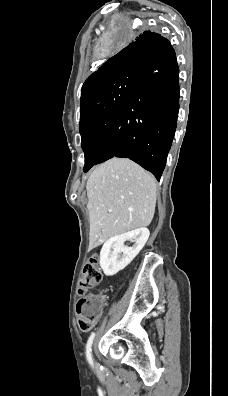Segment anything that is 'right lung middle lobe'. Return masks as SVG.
Listing matches in <instances>:
<instances>
[{
  "label": "right lung middle lobe",
  "mask_w": 228,
  "mask_h": 396,
  "mask_svg": "<svg viewBox=\"0 0 228 396\" xmlns=\"http://www.w3.org/2000/svg\"><path fill=\"white\" fill-rule=\"evenodd\" d=\"M140 72L134 70L102 83L81 102L80 134L85 154L84 172L95 165L116 116Z\"/></svg>",
  "instance_id": "right-lung-middle-lobe-1"
}]
</instances>
